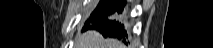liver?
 Listing matches in <instances>:
<instances>
[{
    "label": "liver",
    "mask_w": 213,
    "mask_h": 48,
    "mask_svg": "<svg viewBox=\"0 0 213 48\" xmlns=\"http://www.w3.org/2000/svg\"><path fill=\"white\" fill-rule=\"evenodd\" d=\"M75 48H123L115 39H105L99 32L90 30L77 36Z\"/></svg>",
    "instance_id": "1"
}]
</instances>
